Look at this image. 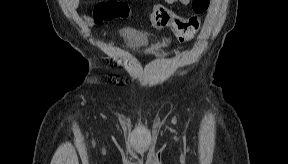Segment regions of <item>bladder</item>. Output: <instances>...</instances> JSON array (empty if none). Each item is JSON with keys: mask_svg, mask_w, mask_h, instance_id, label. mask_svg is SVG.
<instances>
[{"mask_svg": "<svg viewBox=\"0 0 288 164\" xmlns=\"http://www.w3.org/2000/svg\"><path fill=\"white\" fill-rule=\"evenodd\" d=\"M127 42L134 47H147L149 41L145 37L127 36Z\"/></svg>", "mask_w": 288, "mask_h": 164, "instance_id": "bladder-1", "label": "bladder"}]
</instances>
